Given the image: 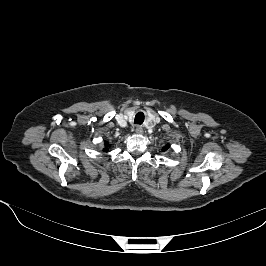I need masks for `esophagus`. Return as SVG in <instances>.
Instances as JSON below:
<instances>
[{"instance_id":"34e87169","label":"esophagus","mask_w":266,"mask_h":266,"mask_svg":"<svg viewBox=\"0 0 266 266\" xmlns=\"http://www.w3.org/2000/svg\"><path fill=\"white\" fill-rule=\"evenodd\" d=\"M135 133L136 134H142L143 133V128L141 126H136L135 128Z\"/></svg>"}]
</instances>
